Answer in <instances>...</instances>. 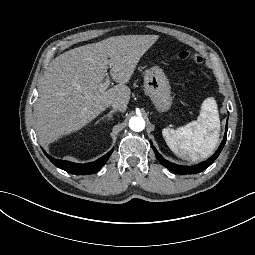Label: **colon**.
Masks as SVG:
<instances>
[{
	"label": "colon",
	"mask_w": 255,
	"mask_h": 255,
	"mask_svg": "<svg viewBox=\"0 0 255 255\" xmlns=\"http://www.w3.org/2000/svg\"><path fill=\"white\" fill-rule=\"evenodd\" d=\"M178 58L180 60H184V61H192L193 63L197 64V65H201L202 64V58L199 57L196 54H193L191 52L188 51H181L178 53Z\"/></svg>",
	"instance_id": "5ec220e1"
}]
</instances>
